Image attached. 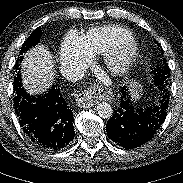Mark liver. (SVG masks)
<instances>
[{
  "mask_svg": "<svg viewBox=\"0 0 183 183\" xmlns=\"http://www.w3.org/2000/svg\"><path fill=\"white\" fill-rule=\"evenodd\" d=\"M53 62L48 49L39 45L24 56L22 79L25 89L30 94L44 91L53 80Z\"/></svg>",
  "mask_w": 183,
  "mask_h": 183,
  "instance_id": "6515ba94",
  "label": "liver"
}]
</instances>
